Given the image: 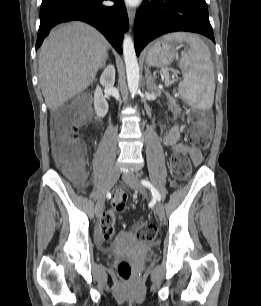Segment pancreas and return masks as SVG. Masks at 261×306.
Wrapping results in <instances>:
<instances>
[{"label": "pancreas", "instance_id": "cf45deb5", "mask_svg": "<svg viewBox=\"0 0 261 306\" xmlns=\"http://www.w3.org/2000/svg\"><path fill=\"white\" fill-rule=\"evenodd\" d=\"M165 84H166V86H168L170 84V82L166 80Z\"/></svg>", "mask_w": 261, "mask_h": 306}]
</instances>
